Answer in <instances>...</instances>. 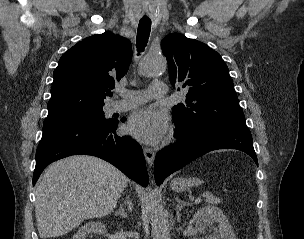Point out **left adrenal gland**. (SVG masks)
<instances>
[{"instance_id":"obj_1","label":"left adrenal gland","mask_w":304,"mask_h":239,"mask_svg":"<svg viewBox=\"0 0 304 239\" xmlns=\"http://www.w3.org/2000/svg\"><path fill=\"white\" fill-rule=\"evenodd\" d=\"M176 202H177V206H176V215H177V220H180V212L181 210L186 206L189 205V202H185V201H181L178 197L175 198Z\"/></svg>"}]
</instances>
